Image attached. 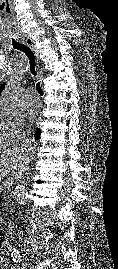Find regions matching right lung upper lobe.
I'll return each mask as SVG.
<instances>
[{"label": "right lung upper lobe", "instance_id": "1", "mask_svg": "<svg viewBox=\"0 0 118 269\" xmlns=\"http://www.w3.org/2000/svg\"><path fill=\"white\" fill-rule=\"evenodd\" d=\"M4 87H5V83H3V84L0 86V94H1L2 90L4 89Z\"/></svg>", "mask_w": 118, "mask_h": 269}]
</instances>
